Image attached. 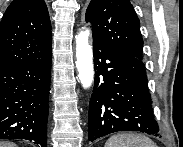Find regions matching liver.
<instances>
[{
	"label": "liver",
	"mask_w": 183,
	"mask_h": 147,
	"mask_svg": "<svg viewBox=\"0 0 183 147\" xmlns=\"http://www.w3.org/2000/svg\"><path fill=\"white\" fill-rule=\"evenodd\" d=\"M0 147H17V145L11 142H0Z\"/></svg>",
	"instance_id": "obj_1"
}]
</instances>
